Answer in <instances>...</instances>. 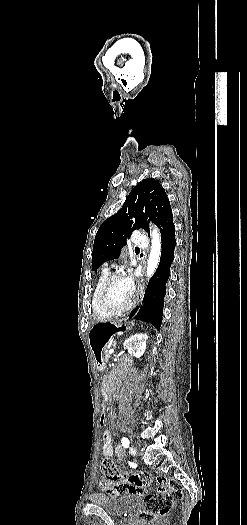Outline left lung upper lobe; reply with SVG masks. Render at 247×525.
<instances>
[{
	"mask_svg": "<svg viewBox=\"0 0 247 525\" xmlns=\"http://www.w3.org/2000/svg\"><path fill=\"white\" fill-rule=\"evenodd\" d=\"M171 214L164 188L155 179H143L132 189L122 208L99 227L93 245L92 269L118 258L126 238L134 230L143 228L149 233V221L159 227Z\"/></svg>",
	"mask_w": 247,
	"mask_h": 525,
	"instance_id": "1",
	"label": "left lung upper lobe"
}]
</instances>
